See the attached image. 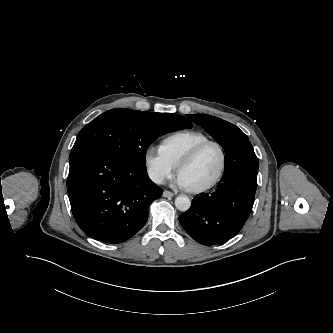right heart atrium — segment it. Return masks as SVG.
Wrapping results in <instances>:
<instances>
[{"label": "right heart atrium", "instance_id": "1", "mask_svg": "<svg viewBox=\"0 0 333 333\" xmlns=\"http://www.w3.org/2000/svg\"><path fill=\"white\" fill-rule=\"evenodd\" d=\"M144 162L149 177L157 184H163L172 178L176 170V166L170 162L160 149L154 146L146 149Z\"/></svg>", "mask_w": 333, "mask_h": 333}]
</instances>
